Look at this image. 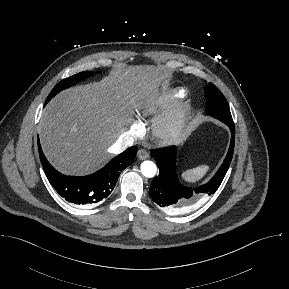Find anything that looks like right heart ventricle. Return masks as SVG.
Segmentation results:
<instances>
[{
	"instance_id": "e07e8e85",
	"label": "right heart ventricle",
	"mask_w": 289,
	"mask_h": 289,
	"mask_svg": "<svg viewBox=\"0 0 289 289\" xmlns=\"http://www.w3.org/2000/svg\"><path fill=\"white\" fill-rule=\"evenodd\" d=\"M181 94H182V93L179 92V93H177L175 96H180ZM151 112H152V110H149V111L146 112V114L151 113Z\"/></svg>"
}]
</instances>
